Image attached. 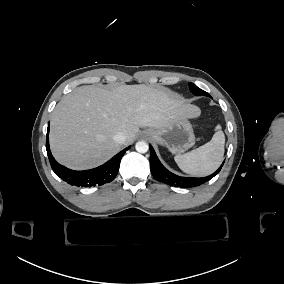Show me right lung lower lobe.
I'll use <instances>...</instances> for the list:
<instances>
[{
    "label": "right lung lower lobe",
    "mask_w": 284,
    "mask_h": 284,
    "mask_svg": "<svg viewBox=\"0 0 284 284\" xmlns=\"http://www.w3.org/2000/svg\"><path fill=\"white\" fill-rule=\"evenodd\" d=\"M48 134H49V125L47 130L46 149L53 171L62 180L66 181L70 185H74L77 187L101 186L111 182L118 173L122 156L128 149H130V146L125 148L117 155H115L112 159H110L108 162L97 168L85 171H74L60 165L54 159L49 147Z\"/></svg>",
    "instance_id": "obj_1"
}]
</instances>
